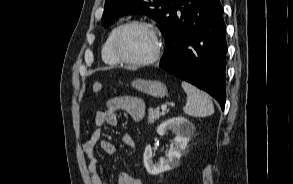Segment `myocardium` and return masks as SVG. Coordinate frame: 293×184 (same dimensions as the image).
Returning a JSON list of instances; mask_svg holds the SVG:
<instances>
[{
	"label": "myocardium",
	"mask_w": 293,
	"mask_h": 184,
	"mask_svg": "<svg viewBox=\"0 0 293 184\" xmlns=\"http://www.w3.org/2000/svg\"><path fill=\"white\" fill-rule=\"evenodd\" d=\"M133 26H140V27L146 28L147 30H149V32L152 34V36L154 38V42H155L154 51L147 58L130 59V58H127L124 55H122L118 49V40H119L120 35L127 28L133 27ZM111 49H112L114 56L116 57V59L119 62L129 64V65H135V66H145V65L153 64L161 58V56L163 54L164 45H163V40L160 35V32L155 25H153L150 22L144 21V20H132V21H128L118 27V29L114 33L112 41H111Z\"/></svg>",
	"instance_id": "f54148a6"
}]
</instances>
